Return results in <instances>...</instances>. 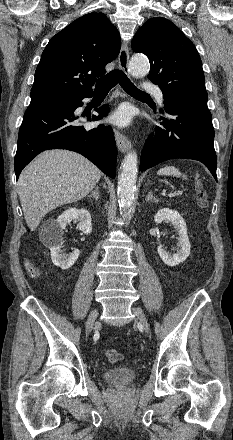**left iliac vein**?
Returning <instances> with one entry per match:
<instances>
[{"label": "left iliac vein", "mask_w": 233, "mask_h": 440, "mask_svg": "<svg viewBox=\"0 0 233 440\" xmlns=\"http://www.w3.org/2000/svg\"><path fill=\"white\" fill-rule=\"evenodd\" d=\"M132 311H133V313H134L135 316H136V320H137V322H138L139 324L142 325V327H143L145 333H146V334H149V332H150V328H149V325H148L147 319H146V317H145L143 311H142L141 309H139V308H136V307H134V308L132 309Z\"/></svg>", "instance_id": "left-iliac-vein-1"}]
</instances>
